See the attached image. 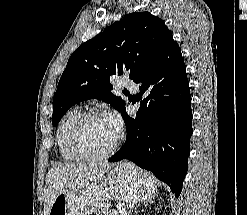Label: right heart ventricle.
I'll return each mask as SVG.
<instances>
[{
  "mask_svg": "<svg viewBox=\"0 0 247 215\" xmlns=\"http://www.w3.org/2000/svg\"><path fill=\"white\" fill-rule=\"evenodd\" d=\"M82 115L78 108L68 111L60 120L56 130V143L61 158L67 162H78L82 158L72 148L71 130L75 122Z\"/></svg>",
  "mask_w": 247,
  "mask_h": 215,
  "instance_id": "1",
  "label": "right heart ventricle"
}]
</instances>
